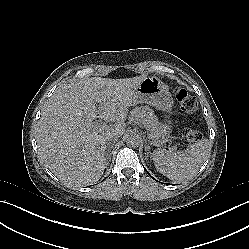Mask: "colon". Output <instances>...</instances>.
Wrapping results in <instances>:
<instances>
[{
  "instance_id": "obj_1",
  "label": "colon",
  "mask_w": 249,
  "mask_h": 249,
  "mask_svg": "<svg viewBox=\"0 0 249 249\" xmlns=\"http://www.w3.org/2000/svg\"><path fill=\"white\" fill-rule=\"evenodd\" d=\"M175 98L180 109L187 115L194 114L198 109V102L186 89L177 87L175 90ZM199 132L195 129H188L185 132V139L188 142H194L199 139Z\"/></svg>"
}]
</instances>
